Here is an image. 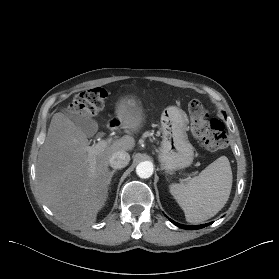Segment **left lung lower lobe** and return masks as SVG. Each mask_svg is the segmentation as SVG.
Returning <instances> with one entry per match:
<instances>
[{
  "label": "left lung lower lobe",
  "mask_w": 279,
  "mask_h": 279,
  "mask_svg": "<svg viewBox=\"0 0 279 279\" xmlns=\"http://www.w3.org/2000/svg\"><path fill=\"white\" fill-rule=\"evenodd\" d=\"M170 221L172 223H174L176 226L180 227V228H183V229H187V230H196V229H200V228H203L205 226H208L210 223L208 224H205V225H197V226H186V225H182V224H179V223H176L174 222L173 220L170 219Z\"/></svg>",
  "instance_id": "0a47b994"
}]
</instances>
